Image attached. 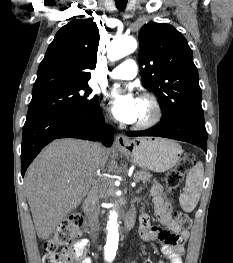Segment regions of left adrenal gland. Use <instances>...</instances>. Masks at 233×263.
Here are the masks:
<instances>
[{"instance_id": "obj_1", "label": "left adrenal gland", "mask_w": 233, "mask_h": 263, "mask_svg": "<svg viewBox=\"0 0 233 263\" xmlns=\"http://www.w3.org/2000/svg\"><path fill=\"white\" fill-rule=\"evenodd\" d=\"M140 190H141V188H139L138 190H136V193H139V192H140Z\"/></svg>"}]
</instances>
